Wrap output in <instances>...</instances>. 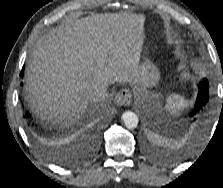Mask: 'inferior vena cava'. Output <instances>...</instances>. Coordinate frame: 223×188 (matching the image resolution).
Returning <instances> with one entry per match:
<instances>
[{"label": "inferior vena cava", "instance_id": "1", "mask_svg": "<svg viewBox=\"0 0 223 188\" xmlns=\"http://www.w3.org/2000/svg\"><path fill=\"white\" fill-rule=\"evenodd\" d=\"M106 83H97L87 91V97L92 102L103 101L108 96Z\"/></svg>", "mask_w": 223, "mask_h": 188}]
</instances>
